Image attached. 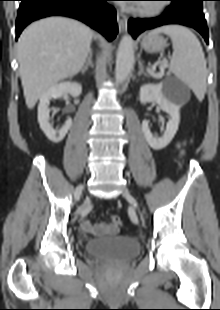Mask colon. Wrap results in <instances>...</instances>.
I'll return each mask as SVG.
<instances>
[{"label":"colon","mask_w":220,"mask_h":310,"mask_svg":"<svg viewBox=\"0 0 220 310\" xmlns=\"http://www.w3.org/2000/svg\"><path fill=\"white\" fill-rule=\"evenodd\" d=\"M111 222L114 230H117L121 224V219L118 216H112Z\"/></svg>","instance_id":"5ec220e1"}]
</instances>
